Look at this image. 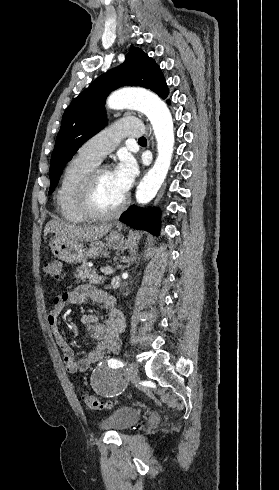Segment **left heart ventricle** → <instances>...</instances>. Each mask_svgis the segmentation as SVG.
I'll return each instance as SVG.
<instances>
[{"instance_id":"b2bd125f","label":"left heart ventricle","mask_w":279,"mask_h":490,"mask_svg":"<svg viewBox=\"0 0 279 490\" xmlns=\"http://www.w3.org/2000/svg\"><path fill=\"white\" fill-rule=\"evenodd\" d=\"M124 198L118 194L113 182L111 171H105L100 175L98 187V204L103 210H111Z\"/></svg>"}]
</instances>
